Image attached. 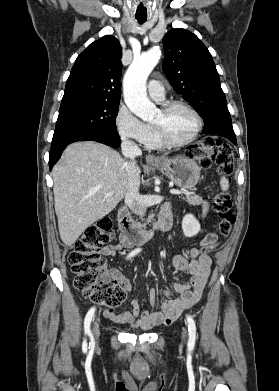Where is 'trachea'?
<instances>
[{
	"label": "trachea",
	"instance_id": "trachea-1",
	"mask_svg": "<svg viewBox=\"0 0 279 391\" xmlns=\"http://www.w3.org/2000/svg\"><path fill=\"white\" fill-rule=\"evenodd\" d=\"M139 24H143L146 21V18H136Z\"/></svg>",
	"mask_w": 279,
	"mask_h": 391
}]
</instances>
